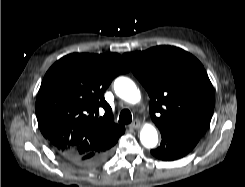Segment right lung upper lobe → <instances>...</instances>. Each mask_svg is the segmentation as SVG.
Returning a JSON list of instances; mask_svg holds the SVG:
<instances>
[{
  "instance_id": "right-lung-upper-lobe-1",
  "label": "right lung upper lobe",
  "mask_w": 245,
  "mask_h": 187,
  "mask_svg": "<svg viewBox=\"0 0 245 187\" xmlns=\"http://www.w3.org/2000/svg\"><path fill=\"white\" fill-rule=\"evenodd\" d=\"M128 71L117 53H73L51 66L35 110L40 130L56 152L84 155L116 143L125 128L113 122L103 94L115 77ZM101 109L105 114L99 117Z\"/></svg>"
}]
</instances>
